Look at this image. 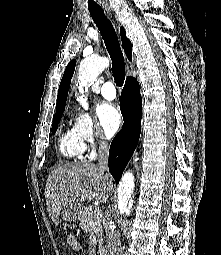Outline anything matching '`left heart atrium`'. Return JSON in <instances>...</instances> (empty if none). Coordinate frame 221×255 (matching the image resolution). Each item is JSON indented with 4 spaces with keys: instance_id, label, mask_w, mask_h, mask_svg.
<instances>
[{
    "instance_id": "39dd6f15",
    "label": "left heart atrium",
    "mask_w": 221,
    "mask_h": 255,
    "mask_svg": "<svg viewBox=\"0 0 221 255\" xmlns=\"http://www.w3.org/2000/svg\"><path fill=\"white\" fill-rule=\"evenodd\" d=\"M98 118L101 128L109 134L114 133L122 121V115L118 107L108 103L99 107Z\"/></svg>"
}]
</instances>
